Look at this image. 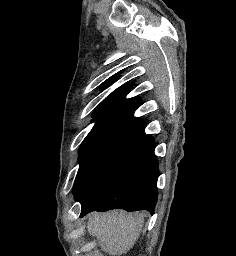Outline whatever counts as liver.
Wrapping results in <instances>:
<instances>
[{"instance_id":"obj_1","label":"liver","mask_w":236,"mask_h":256,"mask_svg":"<svg viewBox=\"0 0 236 256\" xmlns=\"http://www.w3.org/2000/svg\"><path fill=\"white\" fill-rule=\"evenodd\" d=\"M144 226V214L126 212H94L89 216L87 232L98 240L100 250L108 256H122L133 248Z\"/></svg>"}]
</instances>
